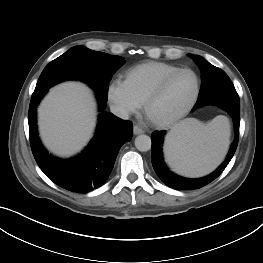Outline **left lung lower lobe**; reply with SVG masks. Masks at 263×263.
<instances>
[{
    "label": "left lung lower lobe",
    "instance_id": "left-lung-lower-lobe-1",
    "mask_svg": "<svg viewBox=\"0 0 263 263\" xmlns=\"http://www.w3.org/2000/svg\"><path fill=\"white\" fill-rule=\"evenodd\" d=\"M212 70H204L205 74H211ZM215 104L226 110L234 121L235 126V139L229 151V154L226 160L210 175L199 178V179H187L180 177L173 172H171L165 165L162 157V144L163 138L166 131H155L152 133V165L158 175V177L168 186L177 190H186V189H199L214 179H216L226 168L230 160L232 159L239 140V125H240V100L239 96L235 89L233 90H220L213 91L198 97L196 104L193 107V110L196 108L207 105Z\"/></svg>",
    "mask_w": 263,
    "mask_h": 263
}]
</instances>
